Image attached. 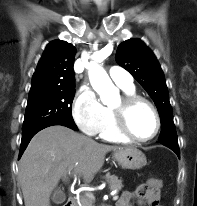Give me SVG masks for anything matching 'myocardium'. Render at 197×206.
<instances>
[{"label": "myocardium", "instance_id": "f54148a6", "mask_svg": "<svg viewBox=\"0 0 197 206\" xmlns=\"http://www.w3.org/2000/svg\"><path fill=\"white\" fill-rule=\"evenodd\" d=\"M138 104H145L147 105L154 117H155V121H156V126H155V130L153 132V134L149 137L146 138H140L135 136L132 131L129 128L128 125V115L130 110ZM111 112H112V116H113V121H114V125L118 131V133L126 138L129 139L131 141H135V142H148L151 141L152 139H154L157 134L160 131L161 128V118L159 115V112L157 110V108L155 107V105L148 100L145 97H142L140 95L137 94H125L120 98V103L117 106H112L111 107Z\"/></svg>", "mask_w": 197, "mask_h": 206}]
</instances>
